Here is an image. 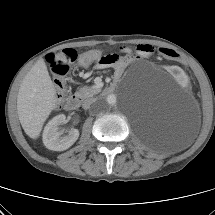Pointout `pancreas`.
<instances>
[{"label": "pancreas", "mask_w": 215, "mask_h": 215, "mask_svg": "<svg viewBox=\"0 0 215 215\" xmlns=\"http://www.w3.org/2000/svg\"><path fill=\"white\" fill-rule=\"evenodd\" d=\"M100 91H101L100 85H93L91 87L84 86L81 87L79 91L75 93V95L81 99H85L98 94Z\"/></svg>", "instance_id": "obj_1"}]
</instances>
